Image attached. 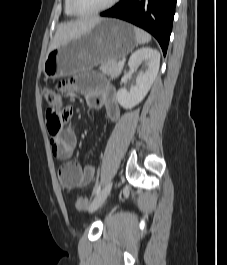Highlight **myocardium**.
I'll return each instance as SVG.
<instances>
[{"instance_id":"obj_1","label":"myocardium","mask_w":227,"mask_h":265,"mask_svg":"<svg viewBox=\"0 0 227 265\" xmlns=\"http://www.w3.org/2000/svg\"><path fill=\"white\" fill-rule=\"evenodd\" d=\"M118 1L119 0H110L105 5L97 8V9L90 10V11L80 10L76 5V0H69V5H70V9L72 10V12L74 14H76L77 16H90V15H96V14L102 13V12L112 8Z\"/></svg>"}]
</instances>
